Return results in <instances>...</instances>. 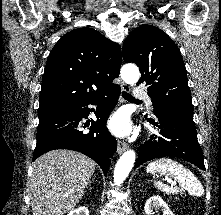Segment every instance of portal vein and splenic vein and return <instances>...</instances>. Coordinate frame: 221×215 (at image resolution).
Listing matches in <instances>:
<instances>
[{
	"mask_svg": "<svg viewBox=\"0 0 221 215\" xmlns=\"http://www.w3.org/2000/svg\"><path fill=\"white\" fill-rule=\"evenodd\" d=\"M168 182H169V183H172V185H174V184H175L173 181H171V180H169V179H168Z\"/></svg>",
	"mask_w": 221,
	"mask_h": 215,
	"instance_id": "18ae733b",
	"label": "portal vein and splenic vein"
}]
</instances>
